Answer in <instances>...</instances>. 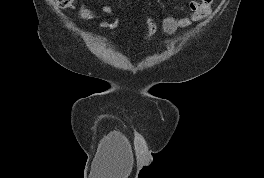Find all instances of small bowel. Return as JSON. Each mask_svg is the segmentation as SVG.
I'll return each mask as SVG.
<instances>
[{"label":"small bowel","instance_id":"small-bowel-1","mask_svg":"<svg viewBox=\"0 0 264 178\" xmlns=\"http://www.w3.org/2000/svg\"><path fill=\"white\" fill-rule=\"evenodd\" d=\"M214 0H192L188 4L189 13L185 16L168 15L161 22L162 30L168 35L176 33L180 29L189 27L193 22L199 21L207 17L212 10ZM102 11L111 15L113 10L108 5L102 6ZM78 15L81 20L90 21L98 18V15L92 11L86 2H81L78 8Z\"/></svg>","mask_w":264,"mask_h":178}]
</instances>
